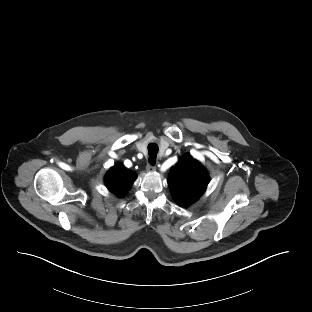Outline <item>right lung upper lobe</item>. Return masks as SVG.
I'll use <instances>...</instances> for the list:
<instances>
[{
    "mask_svg": "<svg viewBox=\"0 0 312 312\" xmlns=\"http://www.w3.org/2000/svg\"><path fill=\"white\" fill-rule=\"evenodd\" d=\"M137 175L119 165H114L105 176L108 189L119 197L124 196L131 188Z\"/></svg>",
    "mask_w": 312,
    "mask_h": 312,
    "instance_id": "1",
    "label": "right lung upper lobe"
}]
</instances>
